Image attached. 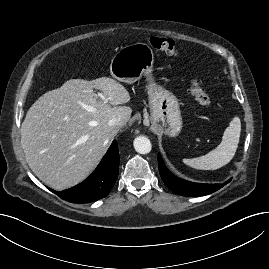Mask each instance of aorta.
<instances>
[{"label":"aorta","mask_w":269,"mask_h":269,"mask_svg":"<svg viewBox=\"0 0 269 269\" xmlns=\"http://www.w3.org/2000/svg\"><path fill=\"white\" fill-rule=\"evenodd\" d=\"M134 149L140 154H147L151 151L152 146L150 140L146 136H137L133 142Z\"/></svg>","instance_id":"aorta-1"}]
</instances>
